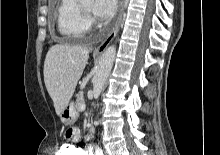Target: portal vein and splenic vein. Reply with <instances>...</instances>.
<instances>
[{
    "label": "portal vein and splenic vein",
    "mask_w": 220,
    "mask_h": 155,
    "mask_svg": "<svg viewBox=\"0 0 220 155\" xmlns=\"http://www.w3.org/2000/svg\"><path fill=\"white\" fill-rule=\"evenodd\" d=\"M85 108H86V105H85V104L81 105V110H83V109H85Z\"/></svg>",
    "instance_id": "obj_1"
}]
</instances>
